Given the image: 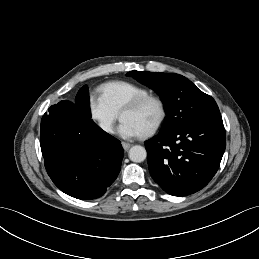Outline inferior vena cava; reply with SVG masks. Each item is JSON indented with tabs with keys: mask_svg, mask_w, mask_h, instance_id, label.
Returning a JSON list of instances; mask_svg holds the SVG:
<instances>
[{
	"mask_svg": "<svg viewBox=\"0 0 259 259\" xmlns=\"http://www.w3.org/2000/svg\"><path fill=\"white\" fill-rule=\"evenodd\" d=\"M101 128L107 132H110L111 131V126L110 124H107V123H102L101 124Z\"/></svg>",
	"mask_w": 259,
	"mask_h": 259,
	"instance_id": "obj_1",
	"label": "inferior vena cava"
}]
</instances>
